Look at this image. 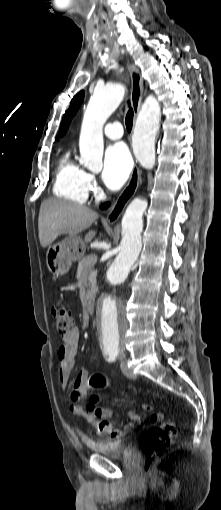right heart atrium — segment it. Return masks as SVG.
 Here are the masks:
<instances>
[{"mask_svg": "<svg viewBox=\"0 0 221 510\" xmlns=\"http://www.w3.org/2000/svg\"><path fill=\"white\" fill-rule=\"evenodd\" d=\"M87 186H88L89 191H92L94 193H96L98 191L97 180H96V177L93 174H89L88 173V175H87Z\"/></svg>", "mask_w": 221, "mask_h": 510, "instance_id": "1", "label": "right heart atrium"}]
</instances>
